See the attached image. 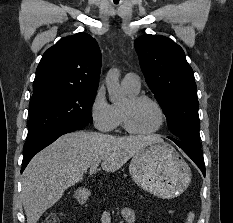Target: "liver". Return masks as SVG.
Here are the masks:
<instances>
[{"instance_id": "6515ba94", "label": "liver", "mask_w": 233, "mask_h": 223, "mask_svg": "<svg viewBox=\"0 0 233 223\" xmlns=\"http://www.w3.org/2000/svg\"><path fill=\"white\" fill-rule=\"evenodd\" d=\"M152 141V135H107L96 131H74L58 137L54 143L32 157L22 173V203L27 223H37L66 189L83 181L94 161L103 171H117L130 157Z\"/></svg>"}]
</instances>
